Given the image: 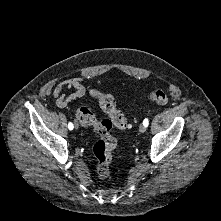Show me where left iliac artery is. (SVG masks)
Returning <instances> with one entry per match:
<instances>
[{
  "instance_id": "obj_1",
  "label": "left iliac artery",
  "mask_w": 221,
  "mask_h": 221,
  "mask_svg": "<svg viewBox=\"0 0 221 221\" xmlns=\"http://www.w3.org/2000/svg\"><path fill=\"white\" fill-rule=\"evenodd\" d=\"M148 124H149L148 119H147V118H146V119H144V121H143V125L147 127V126H148Z\"/></svg>"
}]
</instances>
